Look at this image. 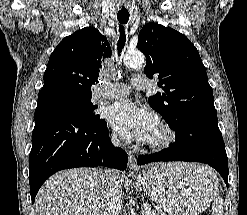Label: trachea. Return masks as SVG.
<instances>
[{
  "instance_id": "1",
  "label": "trachea",
  "mask_w": 247,
  "mask_h": 215,
  "mask_svg": "<svg viewBox=\"0 0 247 215\" xmlns=\"http://www.w3.org/2000/svg\"><path fill=\"white\" fill-rule=\"evenodd\" d=\"M117 19L120 23V25H119L120 38H119L118 43H117L118 55H120V53L122 52V49L124 48L125 41H126L124 25L129 20V13L128 12H118Z\"/></svg>"
}]
</instances>
